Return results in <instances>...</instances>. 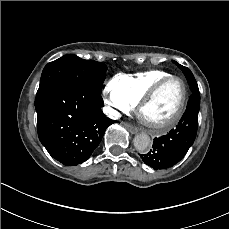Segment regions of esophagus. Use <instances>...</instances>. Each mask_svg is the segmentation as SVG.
Instances as JSON below:
<instances>
[{"label": "esophagus", "instance_id": "1", "mask_svg": "<svg viewBox=\"0 0 229 229\" xmlns=\"http://www.w3.org/2000/svg\"><path fill=\"white\" fill-rule=\"evenodd\" d=\"M124 125L131 134H136L138 132V129L134 127L133 125L129 123H125Z\"/></svg>", "mask_w": 229, "mask_h": 229}]
</instances>
